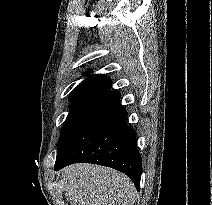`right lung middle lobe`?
Here are the masks:
<instances>
[{
	"label": "right lung middle lobe",
	"instance_id": "dd1d6c3e",
	"mask_svg": "<svg viewBox=\"0 0 212 205\" xmlns=\"http://www.w3.org/2000/svg\"><path fill=\"white\" fill-rule=\"evenodd\" d=\"M100 98L101 97H89L71 101L73 103L58 142L57 158L66 150L74 137L93 114Z\"/></svg>",
	"mask_w": 212,
	"mask_h": 205
}]
</instances>
